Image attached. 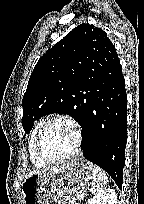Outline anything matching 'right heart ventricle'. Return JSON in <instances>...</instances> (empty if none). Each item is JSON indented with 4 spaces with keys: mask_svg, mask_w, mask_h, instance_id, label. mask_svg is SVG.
Returning <instances> with one entry per match:
<instances>
[{
    "mask_svg": "<svg viewBox=\"0 0 144 204\" xmlns=\"http://www.w3.org/2000/svg\"><path fill=\"white\" fill-rule=\"evenodd\" d=\"M45 122V120L41 119L39 120L33 127L30 136L28 138V153H29V158L31 163L36 166V167H43L45 166L47 163L42 161L36 154L35 151V140H36V136L37 133L39 131V129L41 128V126L43 125V123Z\"/></svg>",
    "mask_w": 144,
    "mask_h": 204,
    "instance_id": "1",
    "label": "right heart ventricle"
}]
</instances>
